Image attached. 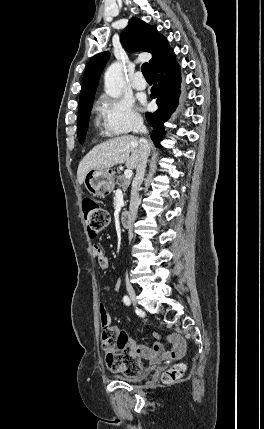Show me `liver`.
I'll return each instance as SVG.
<instances>
[{"label": "liver", "mask_w": 264, "mask_h": 429, "mask_svg": "<svg viewBox=\"0 0 264 429\" xmlns=\"http://www.w3.org/2000/svg\"><path fill=\"white\" fill-rule=\"evenodd\" d=\"M140 152L139 140L132 135H124L99 144L81 160L77 170L78 183L83 184L87 172L93 169H109L122 163L129 169H136Z\"/></svg>", "instance_id": "1"}]
</instances>
